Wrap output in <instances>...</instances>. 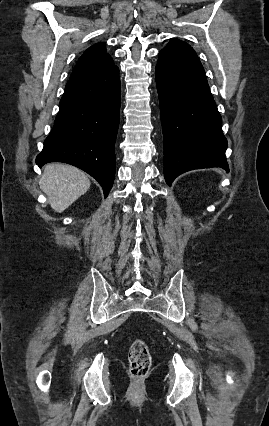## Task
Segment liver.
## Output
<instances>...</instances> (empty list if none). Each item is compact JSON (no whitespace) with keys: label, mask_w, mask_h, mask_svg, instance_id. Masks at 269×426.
Listing matches in <instances>:
<instances>
[{"label":"liver","mask_w":269,"mask_h":426,"mask_svg":"<svg viewBox=\"0 0 269 426\" xmlns=\"http://www.w3.org/2000/svg\"><path fill=\"white\" fill-rule=\"evenodd\" d=\"M90 185V180L83 171L62 163L47 164L39 182L51 208L59 213L85 194Z\"/></svg>","instance_id":"liver-1"}]
</instances>
